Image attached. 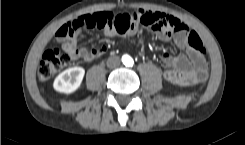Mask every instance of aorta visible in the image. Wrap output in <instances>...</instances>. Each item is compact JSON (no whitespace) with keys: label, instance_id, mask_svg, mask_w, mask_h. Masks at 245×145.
Returning a JSON list of instances; mask_svg holds the SVG:
<instances>
[{"label":"aorta","instance_id":"1","mask_svg":"<svg viewBox=\"0 0 245 145\" xmlns=\"http://www.w3.org/2000/svg\"><path fill=\"white\" fill-rule=\"evenodd\" d=\"M123 62H124V64H128L129 62H131V58L129 56H124Z\"/></svg>","mask_w":245,"mask_h":145}]
</instances>
